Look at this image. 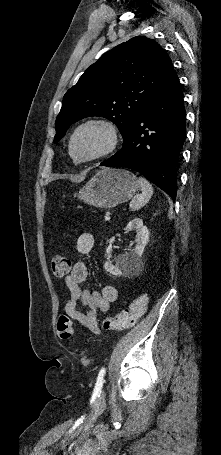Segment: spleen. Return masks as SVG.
Segmentation results:
<instances>
[{
	"instance_id": "spleen-1",
	"label": "spleen",
	"mask_w": 221,
	"mask_h": 455,
	"mask_svg": "<svg viewBox=\"0 0 221 455\" xmlns=\"http://www.w3.org/2000/svg\"><path fill=\"white\" fill-rule=\"evenodd\" d=\"M139 183L142 193L136 195L129 204L130 209L133 211L142 208L145 204L148 203L151 196L153 195V187L145 178L140 177Z\"/></svg>"
}]
</instances>
